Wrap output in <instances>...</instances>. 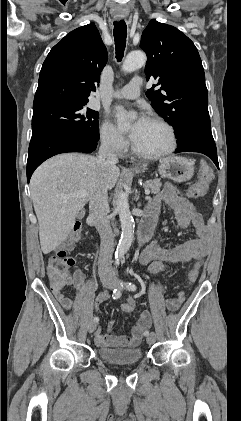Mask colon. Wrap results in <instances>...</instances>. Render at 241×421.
Masks as SVG:
<instances>
[{
	"mask_svg": "<svg viewBox=\"0 0 241 421\" xmlns=\"http://www.w3.org/2000/svg\"><path fill=\"white\" fill-rule=\"evenodd\" d=\"M213 179V172L211 167L202 162L198 172V179L189 188L187 196L189 198H199L204 196L209 189L210 183ZM82 227L80 223H76L68 236L67 240L53 252L47 261V275L51 284L55 287H62L71 283L74 280L69 272L70 267L74 265V259L68 256L67 251L81 238ZM168 268V264L162 260H155L149 264L148 271L153 276L163 274ZM197 276V270L192 268L188 274V282L192 283ZM135 309V297L128 298L121 305V310L124 313H131Z\"/></svg>",
	"mask_w": 241,
	"mask_h": 421,
	"instance_id": "5ec220e1",
	"label": "colon"
}]
</instances>
